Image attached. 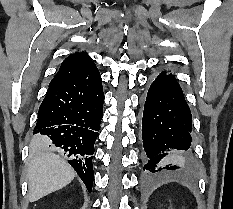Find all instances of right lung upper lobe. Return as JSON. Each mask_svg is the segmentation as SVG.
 Returning <instances> with one entry per match:
<instances>
[{
	"label": "right lung upper lobe",
	"instance_id": "1",
	"mask_svg": "<svg viewBox=\"0 0 233 209\" xmlns=\"http://www.w3.org/2000/svg\"><path fill=\"white\" fill-rule=\"evenodd\" d=\"M94 62L86 53L69 55L61 64L59 71L51 80L49 86L57 84L93 65Z\"/></svg>",
	"mask_w": 233,
	"mask_h": 209
}]
</instances>
